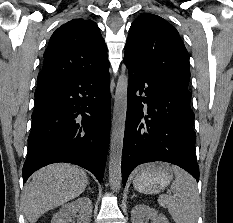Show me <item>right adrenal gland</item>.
Returning a JSON list of instances; mask_svg holds the SVG:
<instances>
[{
    "mask_svg": "<svg viewBox=\"0 0 233 223\" xmlns=\"http://www.w3.org/2000/svg\"><path fill=\"white\" fill-rule=\"evenodd\" d=\"M88 189H91V187H90L89 183H88Z\"/></svg>",
    "mask_w": 233,
    "mask_h": 223,
    "instance_id": "2a0ac1e0",
    "label": "right adrenal gland"
}]
</instances>
